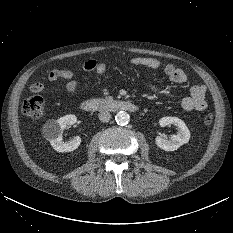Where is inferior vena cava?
Wrapping results in <instances>:
<instances>
[{
    "label": "inferior vena cava",
    "instance_id": "602c4592",
    "mask_svg": "<svg viewBox=\"0 0 233 233\" xmlns=\"http://www.w3.org/2000/svg\"><path fill=\"white\" fill-rule=\"evenodd\" d=\"M98 117L101 122H108L111 119V114L108 110L103 109L99 112Z\"/></svg>",
    "mask_w": 233,
    "mask_h": 233
}]
</instances>
